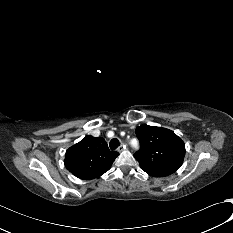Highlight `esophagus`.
<instances>
[{
	"label": "esophagus",
	"instance_id": "1",
	"mask_svg": "<svg viewBox=\"0 0 233 233\" xmlns=\"http://www.w3.org/2000/svg\"><path fill=\"white\" fill-rule=\"evenodd\" d=\"M126 149V145H121L118 147L117 151L120 153Z\"/></svg>",
	"mask_w": 233,
	"mask_h": 233
}]
</instances>
